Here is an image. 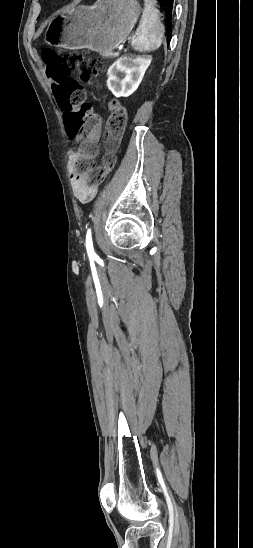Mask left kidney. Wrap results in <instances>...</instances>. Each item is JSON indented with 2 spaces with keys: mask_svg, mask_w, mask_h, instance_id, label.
Instances as JSON below:
<instances>
[{
  "mask_svg": "<svg viewBox=\"0 0 253 548\" xmlns=\"http://www.w3.org/2000/svg\"><path fill=\"white\" fill-rule=\"evenodd\" d=\"M151 60L150 56L120 57L108 69V89L115 97L130 96L141 83ZM121 73H124L122 78Z\"/></svg>",
  "mask_w": 253,
  "mask_h": 548,
  "instance_id": "5707ae66",
  "label": "left kidney"
}]
</instances>
